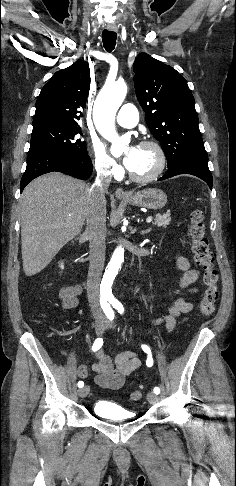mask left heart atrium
<instances>
[{"label": "left heart atrium", "mask_w": 236, "mask_h": 486, "mask_svg": "<svg viewBox=\"0 0 236 486\" xmlns=\"http://www.w3.org/2000/svg\"><path fill=\"white\" fill-rule=\"evenodd\" d=\"M137 154H138L137 146H131L126 152L123 162L128 169H131L133 167Z\"/></svg>", "instance_id": "left-heart-atrium-1"}]
</instances>
